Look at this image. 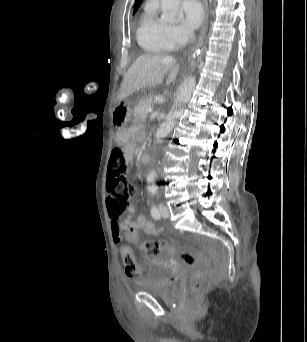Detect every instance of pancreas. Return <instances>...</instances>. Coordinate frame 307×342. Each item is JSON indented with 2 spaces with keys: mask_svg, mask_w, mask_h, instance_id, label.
<instances>
[{
  "mask_svg": "<svg viewBox=\"0 0 307 342\" xmlns=\"http://www.w3.org/2000/svg\"><path fill=\"white\" fill-rule=\"evenodd\" d=\"M154 100L153 98H146V100H141L139 102L138 106H136L135 109V118L136 119H144L145 118V110H148V108H153Z\"/></svg>",
  "mask_w": 307,
  "mask_h": 342,
  "instance_id": "obj_1",
  "label": "pancreas"
}]
</instances>
